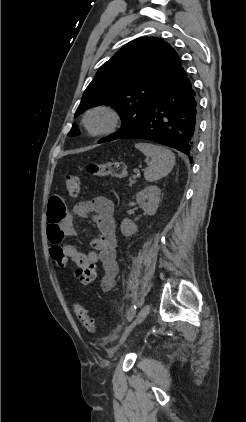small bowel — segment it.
Returning <instances> with one entry per match:
<instances>
[{"label":"small bowel","instance_id":"obj_1","mask_svg":"<svg viewBox=\"0 0 246 422\" xmlns=\"http://www.w3.org/2000/svg\"><path fill=\"white\" fill-rule=\"evenodd\" d=\"M93 213L92 219L99 234L90 239L93 250L84 252L74 245H62L65 237L76 235L73 226L75 216L86 217ZM48 237L52 248L59 247L69 262H73L78 268L88 264L100 263L104 275L101 280V289L104 292L111 291L116 285V277L119 266L116 260V236L113 202L104 197L97 196L90 200H81L68 210L64 199L58 195L50 198L48 204Z\"/></svg>","mask_w":246,"mask_h":422}]
</instances>
